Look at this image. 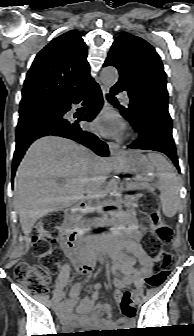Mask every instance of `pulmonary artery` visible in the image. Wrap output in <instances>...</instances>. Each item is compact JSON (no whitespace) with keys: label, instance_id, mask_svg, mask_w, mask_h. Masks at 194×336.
<instances>
[{"label":"pulmonary artery","instance_id":"e3ab8cb5","mask_svg":"<svg viewBox=\"0 0 194 336\" xmlns=\"http://www.w3.org/2000/svg\"><path fill=\"white\" fill-rule=\"evenodd\" d=\"M121 100L123 101L124 104L128 105L130 103V99L127 95L121 94Z\"/></svg>","mask_w":194,"mask_h":336}]
</instances>
